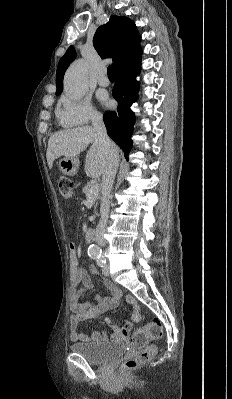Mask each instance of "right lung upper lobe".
<instances>
[{
  "label": "right lung upper lobe",
  "mask_w": 232,
  "mask_h": 399,
  "mask_svg": "<svg viewBox=\"0 0 232 399\" xmlns=\"http://www.w3.org/2000/svg\"><path fill=\"white\" fill-rule=\"evenodd\" d=\"M140 35L132 20L112 15L109 22L100 26L94 35L93 46L102 58H112L118 67L141 56ZM75 50L70 46L59 61L56 73V95L63 90V77L70 63L75 59Z\"/></svg>",
  "instance_id": "1"
}]
</instances>
